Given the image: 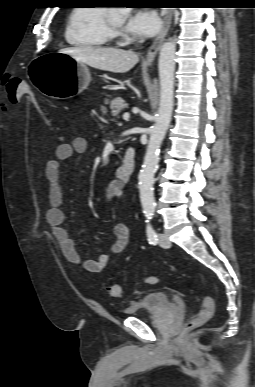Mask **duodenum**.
<instances>
[{
  "label": "duodenum",
  "instance_id": "1",
  "mask_svg": "<svg viewBox=\"0 0 255 387\" xmlns=\"http://www.w3.org/2000/svg\"><path fill=\"white\" fill-rule=\"evenodd\" d=\"M136 166V151L133 147H129L125 153L124 159L116 170L117 177L122 182H129Z\"/></svg>",
  "mask_w": 255,
  "mask_h": 387
}]
</instances>
